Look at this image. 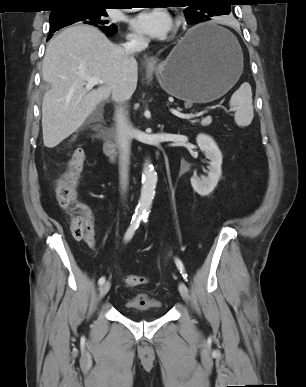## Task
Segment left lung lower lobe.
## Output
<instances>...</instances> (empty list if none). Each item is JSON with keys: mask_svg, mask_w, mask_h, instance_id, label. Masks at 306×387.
Wrapping results in <instances>:
<instances>
[{"mask_svg": "<svg viewBox=\"0 0 306 387\" xmlns=\"http://www.w3.org/2000/svg\"><path fill=\"white\" fill-rule=\"evenodd\" d=\"M206 34L211 36V37H220V38H222L224 35L223 33L216 32V31H208V32H206ZM202 35H203L202 33L194 34L193 36H191L190 39H191V41H196V40L200 39L202 37Z\"/></svg>", "mask_w": 306, "mask_h": 387, "instance_id": "1", "label": "left lung lower lobe"}]
</instances>
